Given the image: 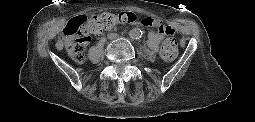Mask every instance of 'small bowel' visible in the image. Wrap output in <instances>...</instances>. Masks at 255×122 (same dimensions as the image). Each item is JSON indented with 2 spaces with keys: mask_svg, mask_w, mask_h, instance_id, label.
<instances>
[{
  "mask_svg": "<svg viewBox=\"0 0 255 122\" xmlns=\"http://www.w3.org/2000/svg\"><path fill=\"white\" fill-rule=\"evenodd\" d=\"M155 22L160 23L158 20L154 19ZM163 38V35L157 31L150 32L148 36V46L155 52L159 50V44Z\"/></svg>",
  "mask_w": 255,
  "mask_h": 122,
  "instance_id": "small-bowel-1",
  "label": "small bowel"
}]
</instances>
